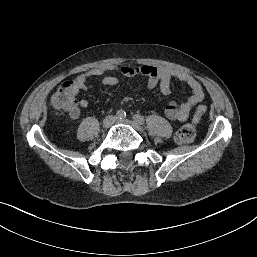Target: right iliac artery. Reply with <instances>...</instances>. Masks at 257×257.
<instances>
[{"label": "right iliac artery", "mask_w": 257, "mask_h": 257, "mask_svg": "<svg viewBox=\"0 0 257 257\" xmlns=\"http://www.w3.org/2000/svg\"><path fill=\"white\" fill-rule=\"evenodd\" d=\"M116 116H117V118H119V119H123V118L126 117V112L123 111V110H119V111L116 113Z\"/></svg>", "instance_id": "1"}]
</instances>
